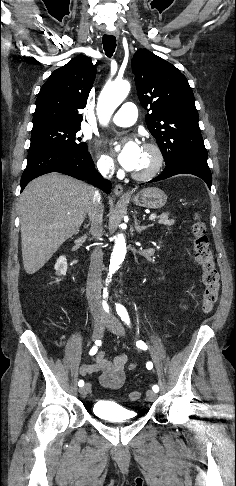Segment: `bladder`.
Masks as SVG:
<instances>
[{"label": "bladder", "mask_w": 236, "mask_h": 486, "mask_svg": "<svg viewBox=\"0 0 236 486\" xmlns=\"http://www.w3.org/2000/svg\"><path fill=\"white\" fill-rule=\"evenodd\" d=\"M96 417L116 423L130 422L137 418V414L115 402L99 400L93 405Z\"/></svg>", "instance_id": "bladder-1"}]
</instances>
